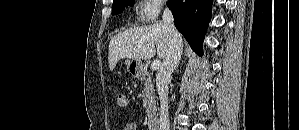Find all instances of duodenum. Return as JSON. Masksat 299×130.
<instances>
[{"instance_id":"1","label":"duodenum","mask_w":299,"mask_h":130,"mask_svg":"<svg viewBox=\"0 0 299 130\" xmlns=\"http://www.w3.org/2000/svg\"><path fill=\"white\" fill-rule=\"evenodd\" d=\"M150 130H160V119L158 116H152L149 118Z\"/></svg>"}]
</instances>
